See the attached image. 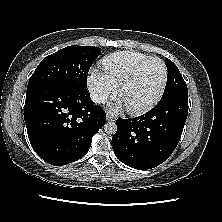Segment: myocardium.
<instances>
[{"label": "myocardium", "instance_id": "1", "mask_svg": "<svg viewBox=\"0 0 222 222\" xmlns=\"http://www.w3.org/2000/svg\"><path fill=\"white\" fill-rule=\"evenodd\" d=\"M158 61L160 62V64L162 65L163 68V80H162V84L160 86L159 91L157 92V94L147 103L138 106V107H127V110L129 113L131 114H143L149 110H151L162 98L166 85H167V81H168V69L167 66L165 64V62L160 59L159 57H155V56H151L145 60H143L142 62H140L134 69L133 71L122 81V83L119 85L118 87V93L119 96H122V93L124 91V89L126 87H128L139 75L140 71L143 69V67L149 63L150 61Z\"/></svg>", "mask_w": 222, "mask_h": 222}]
</instances>
